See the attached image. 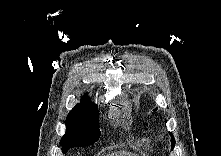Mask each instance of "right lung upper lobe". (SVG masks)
Returning <instances> with one entry per match:
<instances>
[{"mask_svg":"<svg viewBox=\"0 0 221 156\" xmlns=\"http://www.w3.org/2000/svg\"><path fill=\"white\" fill-rule=\"evenodd\" d=\"M79 107H96V105L89 100V96L85 95L82 97L81 102L77 104L74 108Z\"/></svg>","mask_w":221,"mask_h":156,"instance_id":"cb5924a9","label":"right lung upper lobe"}]
</instances>
